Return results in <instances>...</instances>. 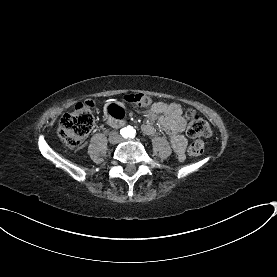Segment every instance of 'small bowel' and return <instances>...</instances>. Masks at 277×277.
Here are the masks:
<instances>
[{
	"instance_id": "1",
	"label": "small bowel",
	"mask_w": 277,
	"mask_h": 277,
	"mask_svg": "<svg viewBox=\"0 0 277 277\" xmlns=\"http://www.w3.org/2000/svg\"><path fill=\"white\" fill-rule=\"evenodd\" d=\"M146 116L156 121L160 128L170 135L174 152L179 160H183L186 148L184 135L186 120L182 115L181 107L175 103L156 102L148 109ZM142 131L146 135H153L156 133V128L152 124H144Z\"/></svg>"
}]
</instances>
